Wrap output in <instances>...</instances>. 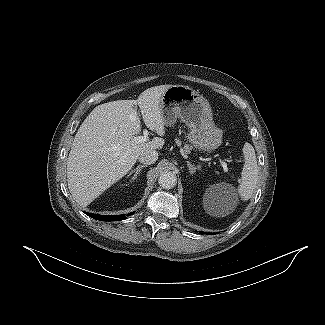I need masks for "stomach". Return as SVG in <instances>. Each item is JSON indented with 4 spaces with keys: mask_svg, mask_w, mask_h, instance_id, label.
I'll return each mask as SVG.
<instances>
[{
    "mask_svg": "<svg viewBox=\"0 0 325 325\" xmlns=\"http://www.w3.org/2000/svg\"><path fill=\"white\" fill-rule=\"evenodd\" d=\"M161 112L165 126L177 118L190 129L188 141L197 149L211 152L222 143L223 131L213 121L208 100L199 92L184 85H172L161 97Z\"/></svg>",
    "mask_w": 325,
    "mask_h": 325,
    "instance_id": "1",
    "label": "stomach"
}]
</instances>
